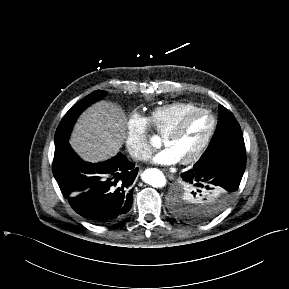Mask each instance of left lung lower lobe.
<instances>
[{
  "instance_id": "1",
  "label": "left lung lower lobe",
  "mask_w": 289,
  "mask_h": 289,
  "mask_svg": "<svg viewBox=\"0 0 289 289\" xmlns=\"http://www.w3.org/2000/svg\"><path fill=\"white\" fill-rule=\"evenodd\" d=\"M245 165V151L222 152L199 160L192 169L182 173L181 177L185 183L195 187L205 203V213L213 218L233 199Z\"/></svg>"
}]
</instances>
